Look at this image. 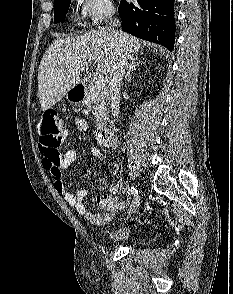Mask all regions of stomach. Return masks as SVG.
Wrapping results in <instances>:
<instances>
[{"instance_id": "1", "label": "stomach", "mask_w": 233, "mask_h": 294, "mask_svg": "<svg viewBox=\"0 0 233 294\" xmlns=\"http://www.w3.org/2000/svg\"><path fill=\"white\" fill-rule=\"evenodd\" d=\"M66 96H67L68 100L71 102H76V101L82 100L81 95L78 93V90L75 88L68 91Z\"/></svg>"}]
</instances>
